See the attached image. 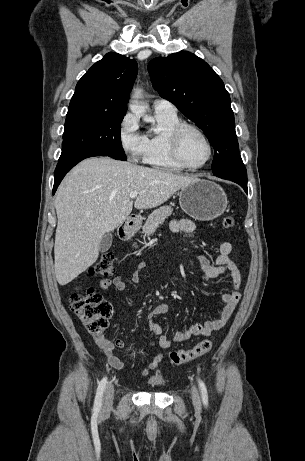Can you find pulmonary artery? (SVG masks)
I'll list each match as a JSON object with an SVG mask.
<instances>
[{
  "instance_id": "obj_1",
  "label": "pulmonary artery",
  "mask_w": 305,
  "mask_h": 461,
  "mask_svg": "<svg viewBox=\"0 0 305 461\" xmlns=\"http://www.w3.org/2000/svg\"><path fill=\"white\" fill-rule=\"evenodd\" d=\"M155 112L162 113H176V107L168 100L163 98H157L153 102Z\"/></svg>"
}]
</instances>
